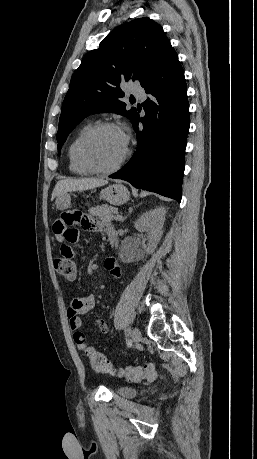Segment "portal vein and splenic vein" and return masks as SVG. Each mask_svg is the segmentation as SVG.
Instances as JSON below:
<instances>
[{"instance_id":"portal-vein-and-splenic-vein-1","label":"portal vein and splenic vein","mask_w":257,"mask_h":459,"mask_svg":"<svg viewBox=\"0 0 257 459\" xmlns=\"http://www.w3.org/2000/svg\"><path fill=\"white\" fill-rule=\"evenodd\" d=\"M115 220H122V215H117L114 217Z\"/></svg>"}]
</instances>
